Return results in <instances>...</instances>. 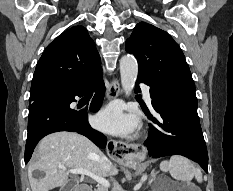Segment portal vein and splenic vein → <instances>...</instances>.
Listing matches in <instances>:
<instances>
[{
  "instance_id": "obj_1",
  "label": "portal vein and splenic vein",
  "mask_w": 233,
  "mask_h": 191,
  "mask_svg": "<svg viewBox=\"0 0 233 191\" xmlns=\"http://www.w3.org/2000/svg\"><path fill=\"white\" fill-rule=\"evenodd\" d=\"M60 169L62 170H67L64 166L60 165L59 166ZM68 172L72 173V174H81V175H86L90 178H92L93 180H95L99 185L108 188L110 186V183L104 179L101 176H98L88 170L85 169H69Z\"/></svg>"
}]
</instances>
